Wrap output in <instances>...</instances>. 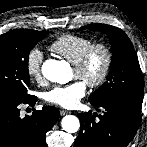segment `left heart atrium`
<instances>
[{
	"label": "left heart atrium",
	"instance_id": "left-heart-atrium-1",
	"mask_svg": "<svg viewBox=\"0 0 147 147\" xmlns=\"http://www.w3.org/2000/svg\"><path fill=\"white\" fill-rule=\"evenodd\" d=\"M86 82L77 80L63 86H56L44 94V99L51 104L74 108L86 94Z\"/></svg>",
	"mask_w": 147,
	"mask_h": 147
}]
</instances>
